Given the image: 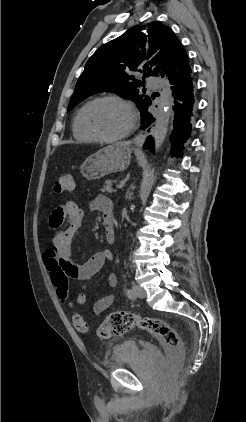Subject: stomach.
<instances>
[{
    "instance_id": "1",
    "label": "stomach",
    "mask_w": 246,
    "mask_h": 422,
    "mask_svg": "<svg viewBox=\"0 0 246 422\" xmlns=\"http://www.w3.org/2000/svg\"><path fill=\"white\" fill-rule=\"evenodd\" d=\"M131 149L122 143L108 145L90 155L81 165V173L88 180L102 178L108 174L128 168Z\"/></svg>"
}]
</instances>
